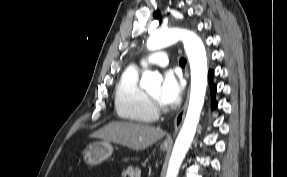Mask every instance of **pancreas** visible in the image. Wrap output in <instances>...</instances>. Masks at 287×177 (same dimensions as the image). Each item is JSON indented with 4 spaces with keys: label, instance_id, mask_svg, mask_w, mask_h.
I'll return each mask as SVG.
<instances>
[{
    "label": "pancreas",
    "instance_id": "obj_1",
    "mask_svg": "<svg viewBox=\"0 0 287 177\" xmlns=\"http://www.w3.org/2000/svg\"><path fill=\"white\" fill-rule=\"evenodd\" d=\"M141 171L139 168L128 167L122 172V177H140Z\"/></svg>",
    "mask_w": 287,
    "mask_h": 177
}]
</instances>
